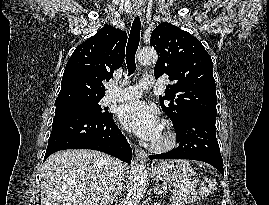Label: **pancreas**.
<instances>
[{
  "mask_svg": "<svg viewBox=\"0 0 269 205\" xmlns=\"http://www.w3.org/2000/svg\"><path fill=\"white\" fill-rule=\"evenodd\" d=\"M171 201L173 203V205H184V203L186 202L182 197H172Z\"/></svg>",
  "mask_w": 269,
  "mask_h": 205,
  "instance_id": "obj_1",
  "label": "pancreas"
}]
</instances>
